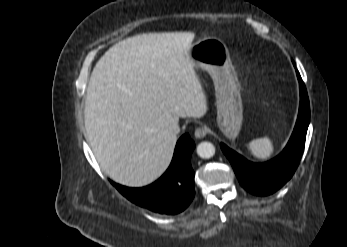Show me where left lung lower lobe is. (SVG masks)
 <instances>
[{"instance_id":"1","label":"left lung lower lobe","mask_w":347,"mask_h":247,"mask_svg":"<svg viewBox=\"0 0 347 247\" xmlns=\"http://www.w3.org/2000/svg\"><path fill=\"white\" fill-rule=\"evenodd\" d=\"M300 85V107L297 122L284 150L266 163H252L221 143V149L229 159L234 172L247 191L266 196L280 189L294 174L305 146L310 119L309 99L305 84L297 71Z\"/></svg>"}]
</instances>
